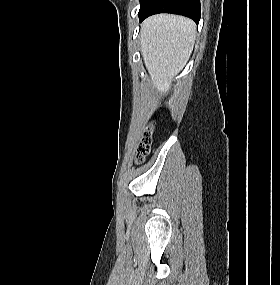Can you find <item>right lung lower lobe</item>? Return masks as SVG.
<instances>
[{"label":"right lung lower lobe","mask_w":280,"mask_h":285,"mask_svg":"<svg viewBox=\"0 0 280 285\" xmlns=\"http://www.w3.org/2000/svg\"><path fill=\"white\" fill-rule=\"evenodd\" d=\"M157 13L184 15L198 24L200 20V0H143L141 2L140 21Z\"/></svg>","instance_id":"obj_1"}]
</instances>
